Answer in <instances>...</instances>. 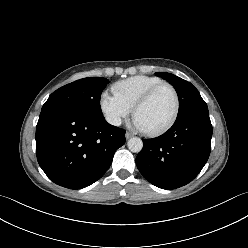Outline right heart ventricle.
Here are the masks:
<instances>
[{
  "label": "right heart ventricle",
  "instance_id": "e07e8e85",
  "mask_svg": "<svg viewBox=\"0 0 248 248\" xmlns=\"http://www.w3.org/2000/svg\"><path fill=\"white\" fill-rule=\"evenodd\" d=\"M162 82L161 79L146 75H137L112 85V91L131 109L135 102L151 87Z\"/></svg>",
  "mask_w": 248,
  "mask_h": 248
}]
</instances>
